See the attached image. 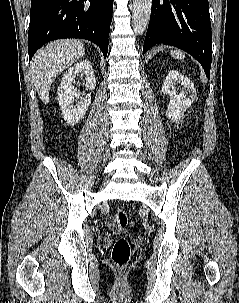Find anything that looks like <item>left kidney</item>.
Wrapping results in <instances>:
<instances>
[{"label": "left kidney", "instance_id": "5707ae66", "mask_svg": "<svg viewBox=\"0 0 239 303\" xmlns=\"http://www.w3.org/2000/svg\"><path fill=\"white\" fill-rule=\"evenodd\" d=\"M162 92L170 96L166 116L176 123L181 121L184 112L191 106L197 96L195 87L190 79L173 70L166 76Z\"/></svg>", "mask_w": 239, "mask_h": 303}]
</instances>
